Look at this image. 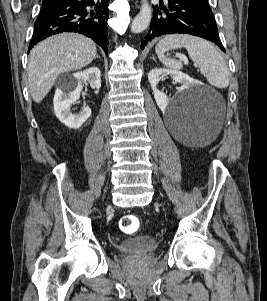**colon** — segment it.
<instances>
[{
	"mask_svg": "<svg viewBox=\"0 0 267 301\" xmlns=\"http://www.w3.org/2000/svg\"><path fill=\"white\" fill-rule=\"evenodd\" d=\"M119 227L122 232L127 234H133L140 230L141 220L136 215L128 214L121 218L119 222Z\"/></svg>",
	"mask_w": 267,
	"mask_h": 301,
	"instance_id": "colon-1",
	"label": "colon"
}]
</instances>
